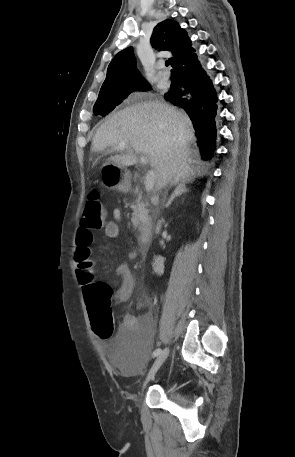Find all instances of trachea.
Segmentation results:
<instances>
[{"label":"trachea","instance_id":"3493384b","mask_svg":"<svg viewBox=\"0 0 295 457\" xmlns=\"http://www.w3.org/2000/svg\"><path fill=\"white\" fill-rule=\"evenodd\" d=\"M165 65H166V66H169V62H168V61H166Z\"/></svg>","mask_w":295,"mask_h":457}]
</instances>
